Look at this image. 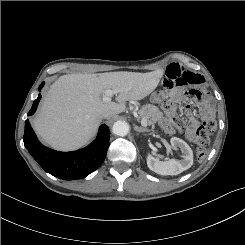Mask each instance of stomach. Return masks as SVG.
I'll list each match as a JSON object with an SVG mask.
<instances>
[{"label": "stomach", "instance_id": "stomach-1", "mask_svg": "<svg viewBox=\"0 0 245 245\" xmlns=\"http://www.w3.org/2000/svg\"><path fill=\"white\" fill-rule=\"evenodd\" d=\"M166 93L163 90L155 91L150 96V101L152 103H161L165 100Z\"/></svg>", "mask_w": 245, "mask_h": 245}]
</instances>
